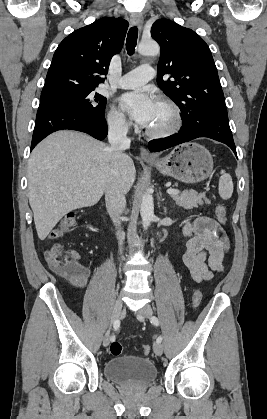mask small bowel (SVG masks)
<instances>
[{
    "mask_svg": "<svg viewBox=\"0 0 267 419\" xmlns=\"http://www.w3.org/2000/svg\"><path fill=\"white\" fill-rule=\"evenodd\" d=\"M184 235L191 237L187 242L182 257L183 264L189 270L195 283L209 281L213 272L224 270L223 260L229 248L228 238L221 226L212 218L200 217L187 223ZM88 270L69 281L79 289H85L88 283Z\"/></svg>",
    "mask_w": 267,
    "mask_h": 419,
    "instance_id": "c3829d8e",
    "label": "small bowel"
}]
</instances>
